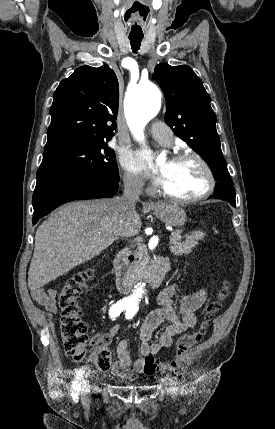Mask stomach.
<instances>
[{
  "label": "stomach",
  "instance_id": "1",
  "mask_svg": "<svg viewBox=\"0 0 275 429\" xmlns=\"http://www.w3.org/2000/svg\"><path fill=\"white\" fill-rule=\"evenodd\" d=\"M153 210L161 221L173 227L183 226L187 220L185 211L177 205L158 204Z\"/></svg>",
  "mask_w": 275,
  "mask_h": 429
}]
</instances>
